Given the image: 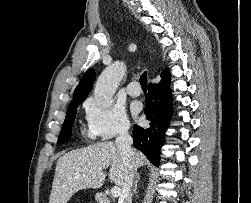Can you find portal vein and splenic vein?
Wrapping results in <instances>:
<instances>
[{"label":"portal vein and splenic vein","instance_id":"portal-vein-and-splenic-vein-1","mask_svg":"<svg viewBox=\"0 0 251 203\" xmlns=\"http://www.w3.org/2000/svg\"><path fill=\"white\" fill-rule=\"evenodd\" d=\"M99 170H101V168ZM111 195L113 197H118L120 195V188L117 186H114L113 188H111Z\"/></svg>","mask_w":251,"mask_h":203}]
</instances>
